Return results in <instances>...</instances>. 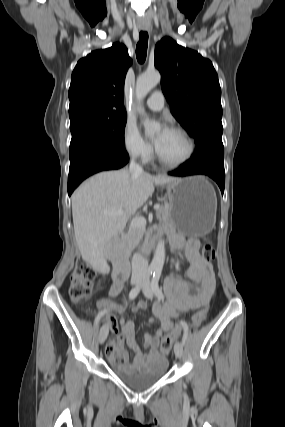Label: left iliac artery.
Returning a JSON list of instances; mask_svg holds the SVG:
<instances>
[{
	"mask_svg": "<svg viewBox=\"0 0 285 427\" xmlns=\"http://www.w3.org/2000/svg\"><path fill=\"white\" fill-rule=\"evenodd\" d=\"M160 275H161V269L156 268L154 273H153V277H152V281H151V287H152L155 295L158 297V299H164V295H163V293H162V291L158 285ZM186 340H187V333L185 332L183 337H182V344L183 345L185 344Z\"/></svg>",
	"mask_w": 285,
	"mask_h": 427,
	"instance_id": "left-iliac-artery-1",
	"label": "left iliac artery"
}]
</instances>
